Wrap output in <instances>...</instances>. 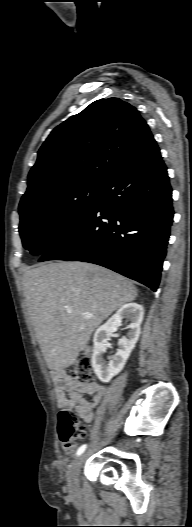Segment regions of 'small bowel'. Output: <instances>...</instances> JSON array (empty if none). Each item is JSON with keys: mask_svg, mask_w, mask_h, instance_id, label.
Wrapping results in <instances>:
<instances>
[{"mask_svg": "<svg viewBox=\"0 0 192 527\" xmlns=\"http://www.w3.org/2000/svg\"><path fill=\"white\" fill-rule=\"evenodd\" d=\"M54 376L62 393L59 398V404L61 406L68 405L73 407L77 416L88 424L92 423L94 410L105 395V388L96 382L88 384L76 382L64 371H56ZM85 394L92 395V399L87 400L84 397Z\"/></svg>", "mask_w": 192, "mask_h": 527, "instance_id": "1", "label": "small bowel"}]
</instances>
